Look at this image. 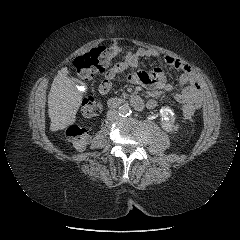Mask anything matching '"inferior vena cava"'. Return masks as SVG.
I'll return each mask as SVG.
<instances>
[{
	"instance_id": "602c4592",
	"label": "inferior vena cava",
	"mask_w": 240,
	"mask_h": 240,
	"mask_svg": "<svg viewBox=\"0 0 240 240\" xmlns=\"http://www.w3.org/2000/svg\"><path fill=\"white\" fill-rule=\"evenodd\" d=\"M107 119L111 122L118 120L119 119V112L115 109L109 110L107 112Z\"/></svg>"
}]
</instances>
